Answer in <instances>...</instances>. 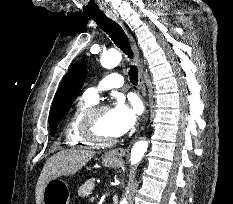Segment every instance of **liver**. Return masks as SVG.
<instances>
[{
    "instance_id": "liver-1",
    "label": "liver",
    "mask_w": 233,
    "mask_h": 204,
    "mask_svg": "<svg viewBox=\"0 0 233 204\" xmlns=\"http://www.w3.org/2000/svg\"><path fill=\"white\" fill-rule=\"evenodd\" d=\"M93 156V151L83 149H68L52 155L46 161L37 181L35 189L36 204L42 203L44 188L50 180L61 176L74 175Z\"/></svg>"
}]
</instances>
